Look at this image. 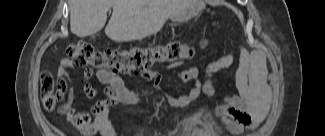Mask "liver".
Segmentation results:
<instances>
[{"label": "liver", "mask_w": 325, "mask_h": 136, "mask_svg": "<svg viewBox=\"0 0 325 136\" xmlns=\"http://www.w3.org/2000/svg\"><path fill=\"white\" fill-rule=\"evenodd\" d=\"M194 3V0H70V30L81 38L96 34L104 27L112 7L105 34L116 42L141 40L158 33L172 16L193 9Z\"/></svg>", "instance_id": "1"}]
</instances>
